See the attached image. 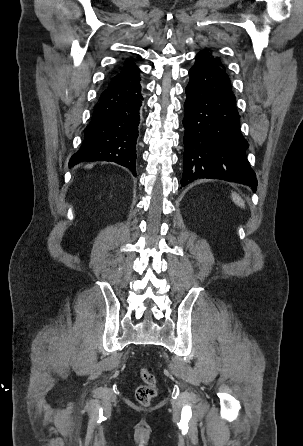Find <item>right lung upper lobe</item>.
Segmentation results:
<instances>
[{"label":"right lung upper lobe","instance_id":"cb5924a9","mask_svg":"<svg viewBox=\"0 0 303 446\" xmlns=\"http://www.w3.org/2000/svg\"><path fill=\"white\" fill-rule=\"evenodd\" d=\"M138 70L139 69L133 62H131L130 60H127L126 62H124L121 70L112 77L110 83H116V82H121V81L128 80V79H132L139 75L137 73Z\"/></svg>","mask_w":303,"mask_h":446}]
</instances>
